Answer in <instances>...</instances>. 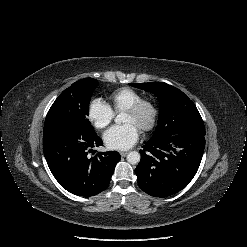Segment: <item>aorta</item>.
Listing matches in <instances>:
<instances>
[{
	"instance_id": "obj_1",
	"label": "aorta",
	"mask_w": 247,
	"mask_h": 247,
	"mask_svg": "<svg viewBox=\"0 0 247 247\" xmlns=\"http://www.w3.org/2000/svg\"><path fill=\"white\" fill-rule=\"evenodd\" d=\"M123 121V115L119 114L115 118V122L120 124ZM128 163L135 165L138 164L140 161V154L137 151H131L128 153L126 157Z\"/></svg>"
}]
</instances>
